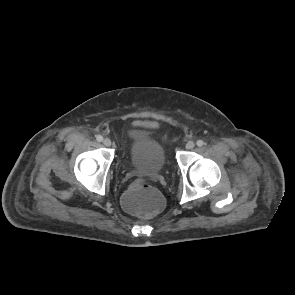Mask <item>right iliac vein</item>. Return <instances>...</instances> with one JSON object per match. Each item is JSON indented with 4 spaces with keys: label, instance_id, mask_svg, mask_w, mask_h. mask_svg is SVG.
Masks as SVG:
<instances>
[{
    "label": "right iliac vein",
    "instance_id": "1",
    "mask_svg": "<svg viewBox=\"0 0 295 295\" xmlns=\"http://www.w3.org/2000/svg\"><path fill=\"white\" fill-rule=\"evenodd\" d=\"M103 144L105 145V146H107V147H109V146H111V140L109 139V138H105L104 140H103Z\"/></svg>",
    "mask_w": 295,
    "mask_h": 295
}]
</instances>
